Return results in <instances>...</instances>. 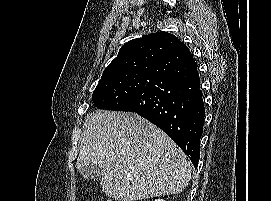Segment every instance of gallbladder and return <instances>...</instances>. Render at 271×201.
<instances>
[{"instance_id": "gallbladder-1", "label": "gallbladder", "mask_w": 271, "mask_h": 201, "mask_svg": "<svg viewBox=\"0 0 271 201\" xmlns=\"http://www.w3.org/2000/svg\"><path fill=\"white\" fill-rule=\"evenodd\" d=\"M80 175L87 180L99 181L103 174V168L99 165H89L79 170Z\"/></svg>"}]
</instances>
